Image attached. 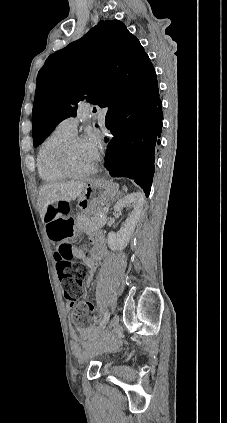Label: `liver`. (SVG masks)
Returning a JSON list of instances; mask_svg holds the SVG:
<instances>
[{"label": "liver", "instance_id": "6515ba94", "mask_svg": "<svg viewBox=\"0 0 227 423\" xmlns=\"http://www.w3.org/2000/svg\"><path fill=\"white\" fill-rule=\"evenodd\" d=\"M90 182V180H87ZM85 184L83 182H55V184H43L39 190L38 206L41 215L47 213L48 206L56 202H73L81 192Z\"/></svg>", "mask_w": 227, "mask_h": 423}]
</instances>
